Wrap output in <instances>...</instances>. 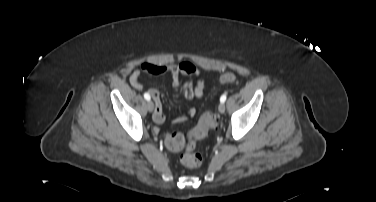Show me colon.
I'll return each mask as SVG.
<instances>
[{
	"label": "colon",
	"mask_w": 376,
	"mask_h": 202,
	"mask_svg": "<svg viewBox=\"0 0 376 202\" xmlns=\"http://www.w3.org/2000/svg\"><path fill=\"white\" fill-rule=\"evenodd\" d=\"M222 83H237L238 77L233 73H226L220 77ZM215 118L205 112L200 116L198 124L188 136L181 133H163L162 137L165 146L171 151H183L181 162L188 168L199 167L202 163L201 155L196 152V140L205 137L210 129L214 126Z\"/></svg>",
	"instance_id": "5ec220e1"
}]
</instances>
